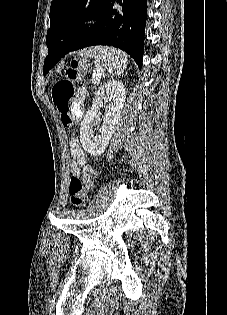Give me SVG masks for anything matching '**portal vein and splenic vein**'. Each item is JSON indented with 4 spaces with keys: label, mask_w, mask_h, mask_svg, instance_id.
<instances>
[{
    "label": "portal vein and splenic vein",
    "mask_w": 227,
    "mask_h": 315,
    "mask_svg": "<svg viewBox=\"0 0 227 315\" xmlns=\"http://www.w3.org/2000/svg\"><path fill=\"white\" fill-rule=\"evenodd\" d=\"M101 78V73L99 70H95L93 73V81L94 83L99 82Z\"/></svg>",
    "instance_id": "portal-vein-and-splenic-vein-1"
}]
</instances>
